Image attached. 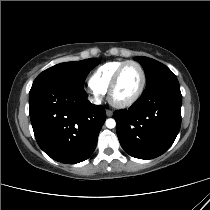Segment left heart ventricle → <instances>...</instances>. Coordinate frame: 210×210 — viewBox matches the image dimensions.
<instances>
[{
  "label": "left heart ventricle",
  "mask_w": 210,
  "mask_h": 210,
  "mask_svg": "<svg viewBox=\"0 0 210 210\" xmlns=\"http://www.w3.org/2000/svg\"><path fill=\"white\" fill-rule=\"evenodd\" d=\"M141 83V73L136 65H127L120 76L117 88L114 92V99L123 101L132 97L138 90Z\"/></svg>",
  "instance_id": "1"
}]
</instances>
